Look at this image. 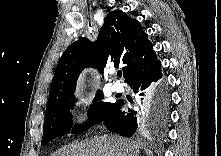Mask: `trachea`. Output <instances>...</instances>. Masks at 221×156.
I'll return each instance as SVG.
<instances>
[{
	"instance_id": "obj_1",
	"label": "trachea",
	"mask_w": 221,
	"mask_h": 156,
	"mask_svg": "<svg viewBox=\"0 0 221 156\" xmlns=\"http://www.w3.org/2000/svg\"><path fill=\"white\" fill-rule=\"evenodd\" d=\"M117 76L121 77L122 76V72H117Z\"/></svg>"
}]
</instances>
